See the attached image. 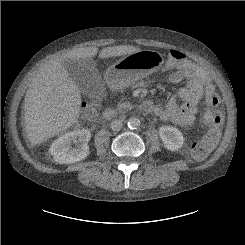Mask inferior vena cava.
<instances>
[{
	"label": "inferior vena cava",
	"instance_id": "602c4592",
	"mask_svg": "<svg viewBox=\"0 0 245 245\" xmlns=\"http://www.w3.org/2000/svg\"><path fill=\"white\" fill-rule=\"evenodd\" d=\"M122 126H123V123L119 119H115V120H113L111 122V129L113 131H119V130H121Z\"/></svg>",
	"mask_w": 245,
	"mask_h": 245
}]
</instances>
